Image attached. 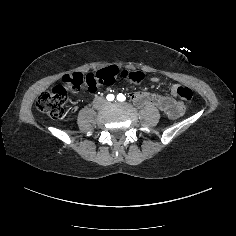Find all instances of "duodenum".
<instances>
[{
  "instance_id": "1",
  "label": "duodenum",
  "mask_w": 236,
  "mask_h": 236,
  "mask_svg": "<svg viewBox=\"0 0 236 236\" xmlns=\"http://www.w3.org/2000/svg\"><path fill=\"white\" fill-rule=\"evenodd\" d=\"M134 101L140 106L156 104L171 117H175L183 111V105L179 101L156 94L138 93L134 96Z\"/></svg>"
}]
</instances>
